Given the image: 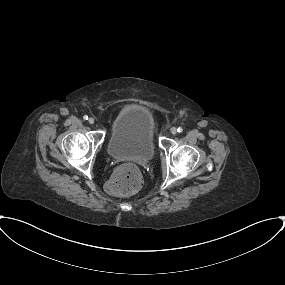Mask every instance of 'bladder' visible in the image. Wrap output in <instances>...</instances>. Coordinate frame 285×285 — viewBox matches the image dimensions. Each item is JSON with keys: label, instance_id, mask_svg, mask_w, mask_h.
<instances>
[{"label": "bladder", "instance_id": "31cf9c89", "mask_svg": "<svg viewBox=\"0 0 285 285\" xmlns=\"http://www.w3.org/2000/svg\"><path fill=\"white\" fill-rule=\"evenodd\" d=\"M107 149L113 158L148 161L154 156V124L145 106L128 107L112 124Z\"/></svg>", "mask_w": 285, "mask_h": 285}]
</instances>
